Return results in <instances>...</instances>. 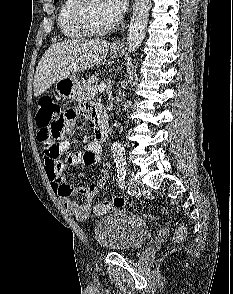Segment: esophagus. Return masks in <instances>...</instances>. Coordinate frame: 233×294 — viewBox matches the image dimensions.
Masks as SVG:
<instances>
[{"label": "esophagus", "instance_id": "esophagus-1", "mask_svg": "<svg viewBox=\"0 0 233 294\" xmlns=\"http://www.w3.org/2000/svg\"><path fill=\"white\" fill-rule=\"evenodd\" d=\"M120 46H122L121 41L117 40V41L113 42V47H120Z\"/></svg>", "mask_w": 233, "mask_h": 294}]
</instances>
